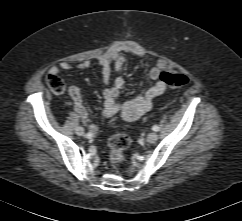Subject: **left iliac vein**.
<instances>
[{
    "mask_svg": "<svg viewBox=\"0 0 242 221\" xmlns=\"http://www.w3.org/2000/svg\"><path fill=\"white\" fill-rule=\"evenodd\" d=\"M146 140L149 143H155L158 140V135L155 132L149 133Z\"/></svg>",
    "mask_w": 242,
    "mask_h": 221,
    "instance_id": "4c4485c4",
    "label": "left iliac vein"
}]
</instances>
